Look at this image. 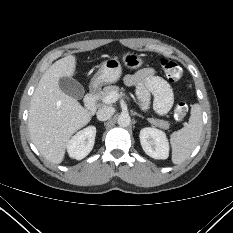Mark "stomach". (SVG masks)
<instances>
[{
	"label": "stomach",
	"instance_id": "0dacf381",
	"mask_svg": "<svg viewBox=\"0 0 233 233\" xmlns=\"http://www.w3.org/2000/svg\"><path fill=\"white\" fill-rule=\"evenodd\" d=\"M122 61L128 69L134 70L143 65V59L141 55L135 53H126L122 57ZM122 74L121 64L119 60L115 58H109L105 60L97 73L94 75L91 81L93 88H98L103 84L117 82Z\"/></svg>",
	"mask_w": 233,
	"mask_h": 233
}]
</instances>
